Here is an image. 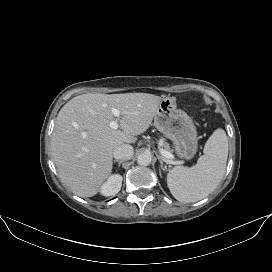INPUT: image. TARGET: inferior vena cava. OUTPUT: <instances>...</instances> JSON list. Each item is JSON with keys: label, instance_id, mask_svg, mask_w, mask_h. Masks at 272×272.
<instances>
[{"label": "inferior vena cava", "instance_id": "1", "mask_svg": "<svg viewBox=\"0 0 272 272\" xmlns=\"http://www.w3.org/2000/svg\"><path fill=\"white\" fill-rule=\"evenodd\" d=\"M113 156L116 160H129L133 156V147L129 144H122L114 149Z\"/></svg>", "mask_w": 272, "mask_h": 272}]
</instances>
